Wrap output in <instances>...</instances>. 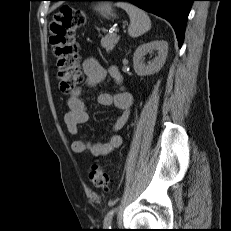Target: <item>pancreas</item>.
Here are the masks:
<instances>
[{"label": "pancreas", "mask_w": 231, "mask_h": 231, "mask_svg": "<svg viewBox=\"0 0 231 231\" xmlns=\"http://www.w3.org/2000/svg\"><path fill=\"white\" fill-rule=\"evenodd\" d=\"M118 40L119 36H117L115 33L107 34L105 37H102L101 46L105 48L107 52H110L118 43Z\"/></svg>", "instance_id": "pancreas-1"}]
</instances>
